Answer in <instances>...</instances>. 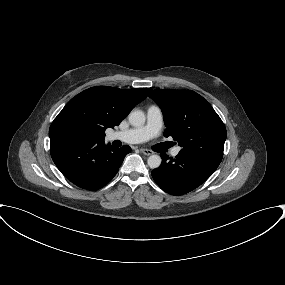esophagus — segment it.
Here are the masks:
<instances>
[{"instance_id": "34e87169", "label": "esophagus", "mask_w": 285, "mask_h": 285, "mask_svg": "<svg viewBox=\"0 0 285 285\" xmlns=\"http://www.w3.org/2000/svg\"><path fill=\"white\" fill-rule=\"evenodd\" d=\"M141 152L146 156H150L153 154V151H151L149 149H144V148L141 149Z\"/></svg>"}]
</instances>
